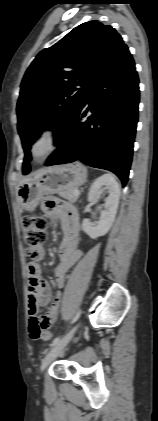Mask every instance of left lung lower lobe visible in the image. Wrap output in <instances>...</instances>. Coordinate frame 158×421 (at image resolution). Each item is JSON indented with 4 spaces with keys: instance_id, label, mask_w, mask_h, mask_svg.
Listing matches in <instances>:
<instances>
[{
    "instance_id": "left-lung-lower-lobe-1",
    "label": "left lung lower lobe",
    "mask_w": 158,
    "mask_h": 421,
    "mask_svg": "<svg viewBox=\"0 0 158 421\" xmlns=\"http://www.w3.org/2000/svg\"><path fill=\"white\" fill-rule=\"evenodd\" d=\"M138 84L134 60L123 45L89 87L45 166L80 160L115 173L125 186L138 122ZM89 110L92 115L84 120Z\"/></svg>"
}]
</instances>
